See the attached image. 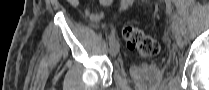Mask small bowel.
<instances>
[{
  "label": "small bowel",
  "instance_id": "c3829d8e",
  "mask_svg": "<svg viewBox=\"0 0 209 90\" xmlns=\"http://www.w3.org/2000/svg\"><path fill=\"white\" fill-rule=\"evenodd\" d=\"M100 3H101L102 5H108V4L110 3V1L101 0ZM87 15H88V17L90 18V20H91V21H94V22L99 21V20L101 19V17H102L101 14L97 15V14H92V13H89V12H87Z\"/></svg>",
  "mask_w": 209,
  "mask_h": 90
}]
</instances>
